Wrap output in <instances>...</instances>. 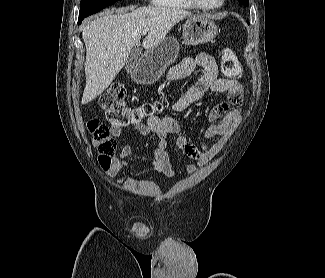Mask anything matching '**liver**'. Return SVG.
<instances>
[{"instance_id": "obj_1", "label": "liver", "mask_w": 325, "mask_h": 278, "mask_svg": "<svg viewBox=\"0 0 325 278\" xmlns=\"http://www.w3.org/2000/svg\"><path fill=\"white\" fill-rule=\"evenodd\" d=\"M131 10L130 13H127ZM188 11L160 6L124 8L91 20L83 29L86 46L84 64L86 85L82 104L99 96L125 65L135 45H140L142 31L149 29L142 42L149 50L159 44L171 28L190 17Z\"/></svg>"}]
</instances>
